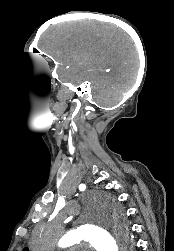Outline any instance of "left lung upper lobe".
<instances>
[{
    "label": "left lung upper lobe",
    "instance_id": "left-lung-upper-lobe-1",
    "mask_svg": "<svg viewBox=\"0 0 174 251\" xmlns=\"http://www.w3.org/2000/svg\"><path fill=\"white\" fill-rule=\"evenodd\" d=\"M23 251H28V249H27V248H25Z\"/></svg>",
    "mask_w": 174,
    "mask_h": 251
}]
</instances>
